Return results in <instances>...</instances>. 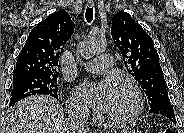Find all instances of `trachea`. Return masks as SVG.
I'll return each instance as SVG.
<instances>
[{"mask_svg":"<svg viewBox=\"0 0 184 133\" xmlns=\"http://www.w3.org/2000/svg\"><path fill=\"white\" fill-rule=\"evenodd\" d=\"M85 17L88 23L93 20V7H87Z\"/></svg>","mask_w":184,"mask_h":133,"instance_id":"trachea-1","label":"trachea"}]
</instances>
